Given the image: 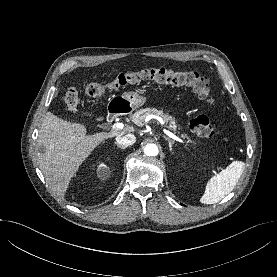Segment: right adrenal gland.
I'll return each instance as SVG.
<instances>
[{
    "label": "right adrenal gland",
    "instance_id": "2a0ac1e0",
    "mask_svg": "<svg viewBox=\"0 0 277 277\" xmlns=\"http://www.w3.org/2000/svg\"><path fill=\"white\" fill-rule=\"evenodd\" d=\"M115 145H117V147H118V148H121V149H125V148H126V146H122V145H120V144H118V143H116V142H115Z\"/></svg>",
    "mask_w": 277,
    "mask_h": 277
}]
</instances>
